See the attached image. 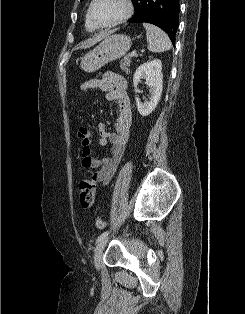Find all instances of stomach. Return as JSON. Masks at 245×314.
Wrapping results in <instances>:
<instances>
[{"mask_svg":"<svg viewBox=\"0 0 245 314\" xmlns=\"http://www.w3.org/2000/svg\"><path fill=\"white\" fill-rule=\"evenodd\" d=\"M131 44L132 41L127 35H109L81 59L80 67L88 73L98 71L107 63L123 57L129 51Z\"/></svg>","mask_w":245,"mask_h":314,"instance_id":"0dacf381","label":"stomach"}]
</instances>
